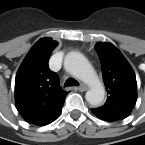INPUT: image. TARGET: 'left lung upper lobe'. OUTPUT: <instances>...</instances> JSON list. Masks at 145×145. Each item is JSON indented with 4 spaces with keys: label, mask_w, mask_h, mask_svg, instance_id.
Returning <instances> with one entry per match:
<instances>
[{
    "label": "left lung upper lobe",
    "mask_w": 145,
    "mask_h": 145,
    "mask_svg": "<svg viewBox=\"0 0 145 145\" xmlns=\"http://www.w3.org/2000/svg\"><path fill=\"white\" fill-rule=\"evenodd\" d=\"M95 50L101 61L108 98L103 106L92 109V112L111 121L124 119L137 101L134 71L114 45L101 42L95 46Z\"/></svg>",
    "instance_id": "left-lung-upper-lobe-1"
}]
</instances>
